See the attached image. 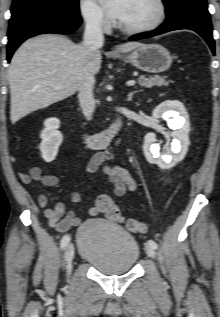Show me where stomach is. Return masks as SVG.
I'll use <instances>...</instances> for the list:
<instances>
[{"instance_id":"0dacf381","label":"stomach","mask_w":220,"mask_h":317,"mask_svg":"<svg viewBox=\"0 0 220 317\" xmlns=\"http://www.w3.org/2000/svg\"><path fill=\"white\" fill-rule=\"evenodd\" d=\"M123 59L134 67L149 73L164 72L172 64V56L169 51L159 44L142 45Z\"/></svg>"}]
</instances>
